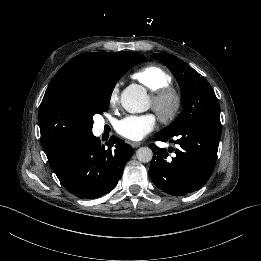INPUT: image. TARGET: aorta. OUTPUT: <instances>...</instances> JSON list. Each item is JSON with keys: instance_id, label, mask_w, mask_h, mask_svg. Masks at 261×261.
Returning a JSON list of instances; mask_svg holds the SVG:
<instances>
[{"instance_id": "1", "label": "aorta", "mask_w": 261, "mask_h": 261, "mask_svg": "<svg viewBox=\"0 0 261 261\" xmlns=\"http://www.w3.org/2000/svg\"><path fill=\"white\" fill-rule=\"evenodd\" d=\"M149 98L144 90L127 87L121 94V103L130 113H142L149 109ZM137 159L142 163L152 160L153 152L149 147H140L136 151Z\"/></svg>"}]
</instances>
